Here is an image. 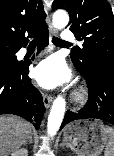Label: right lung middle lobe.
Segmentation results:
<instances>
[{
  "label": "right lung middle lobe",
  "mask_w": 114,
  "mask_h": 156,
  "mask_svg": "<svg viewBox=\"0 0 114 156\" xmlns=\"http://www.w3.org/2000/svg\"><path fill=\"white\" fill-rule=\"evenodd\" d=\"M15 49L0 47V75H8L19 68L21 62L15 57Z\"/></svg>",
  "instance_id": "dd1d6c3e"
}]
</instances>
